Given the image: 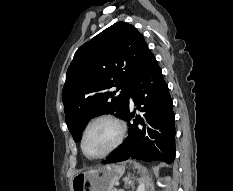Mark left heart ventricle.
Returning a JSON list of instances; mask_svg holds the SVG:
<instances>
[{"instance_id": "b2bd125f", "label": "left heart ventricle", "mask_w": 233, "mask_h": 191, "mask_svg": "<svg viewBox=\"0 0 233 191\" xmlns=\"http://www.w3.org/2000/svg\"><path fill=\"white\" fill-rule=\"evenodd\" d=\"M117 128L108 121L94 123L87 131L85 137V150L91 156L104 153L115 141Z\"/></svg>"}]
</instances>
